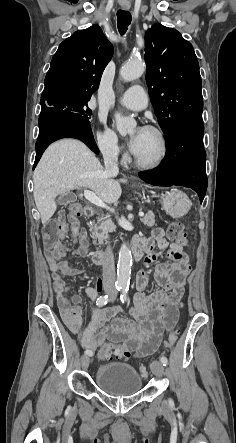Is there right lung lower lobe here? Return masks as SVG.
Segmentation results:
<instances>
[{"label":"right lung lower lobe","instance_id":"1","mask_svg":"<svg viewBox=\"0 0 236 443\" xmlns=\"http://www.w3.org/2000/svg\"><path fill=\"white\" fill-rule=\"evenodd\" d=\"M39 136L36 142V158L34 167L43 152L52 142L61 138H76L84 142L92 151L98 153L90 125L71 117L66 111L47 107L41 110L39 117Z\"/></svg>","mask_w":236,"mask_h":443}]
</instances>
